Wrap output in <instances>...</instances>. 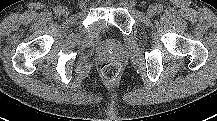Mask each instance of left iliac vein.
<instances>
[{
  "label": "left iliac vein",
  "instance_id": "4c4485c4",
  "mask_svg": "<svg viewBox=\"0 0 217 121\" xmlns=\"http://www.w3.org/2000/svg\"><path fill=\"white\" fill-rule=\"evenodd\" d=\"M156 8L154 6H149L147 9V14L151 17L155 14Z\"/></svg>",
  "mask_w": 217,
  "mask_h": 121
}]
</instances>
